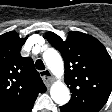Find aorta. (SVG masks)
Listing matches in <instances>:
<instances>
[{"mask_svg":"<svg viewBox=\"0 0 112 112\" xmlns=\"http://www.w3.org/2000/svg\"><path fill=\"white\" fill-rule=\"evenodd\" d=\"M43 59L54 75L61 77L64 74V62L57 50L53 48L47 49L43 53ZM50 94L53 101L59 105H64L70 100V91L62 81L53 83L50 89Z\"/></svg>","mask_w":112,"mask_h":112,"instance_id":"obj_1","label":"aorta"}]
</instances>
